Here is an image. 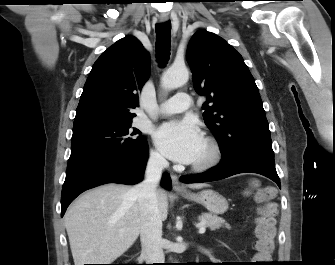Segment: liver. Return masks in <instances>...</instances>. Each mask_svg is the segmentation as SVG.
I'll return each instance as SVG.
<instances>
[{
  "instance_id": "6515ba94",
  "label": "liver",
  "mask_w": 335,
  "mask_h": 265,
  "mask_svg": "<svg viewBox=\"0 0 335 265\" xmlns=\"http://www.w3.org/2000/svg\"><path fill=\"white\" fill-rule=\"evenodd\" d=\"M204 184H190L200 189ZM161 220L168 214L164 190L157 191ZM65 228L75 265L110 264L126 252L140 233L141 214L134 187L106 184L79 197L65 214Z\"/></svg>"
}]
</instances>
